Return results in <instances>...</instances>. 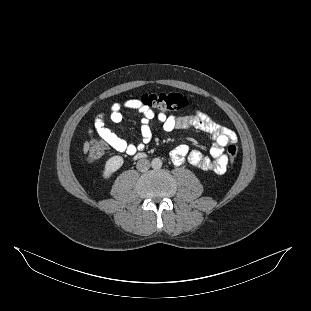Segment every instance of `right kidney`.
Masks as SVG:
<instances>
[{
    "mask_svg": "<svg viewBox=\"0 0 311 311\" xmlns=\"http://www.w3.org/2000/svg\"><path fill=\"white\" fill-rule=\"evenodd\" d=\"M123 158L121 156L111 157L105 164V169L103 171V177L109 178L112 173L117 171L123 165Z\"/></svg>",
    "mask_w": 311,
    "mask_h": 311,
    "instance_id": "ca27d5eb",
    "label": "right kidney"
}]
</instances>
